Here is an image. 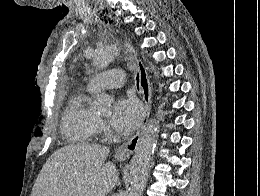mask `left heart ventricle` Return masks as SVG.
<instances>
[{
	"instance_id": "left-heart-ventricle-1",
	"label": "left heart ventricle",
	"mask_w": 260,
	"mask_h": 196,
	"mask_svg": "<svg viewBox=\"0 0 260 196\" xmlns=\"http://www.w3.org/2000/svg\"><path fill=\"white\" fill-rule=\"evenodd\" d=\"M98 115H99L100 118L104 119V118L107 117L108 113H106V114H98Z\"/></svg>"
}]
</instances>
